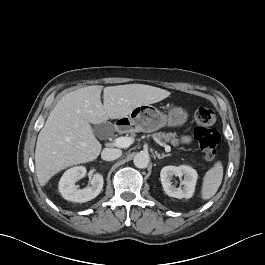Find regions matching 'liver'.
Segmentation results:
<instances>
[{
	"mask_svg": "<svg viewBox=\"0 0 265 265\" xmlns=\"http://www.w3.org/2000/svg\"><path fill=\"white\" fill-rule=\"evenodd\" d=\"M94 85L64 95L41 129L35 149V170L44 186L58 172L70 166L94 161L102 145L91 124L126 117L133 109L164 100L170 92L144 84Z\"/></svg>",
	"mask_w": 265,
	"mask_h": 265,
	"instance_id": "liver-1",
	"label": "liver"
}]
</instances>
